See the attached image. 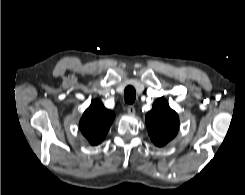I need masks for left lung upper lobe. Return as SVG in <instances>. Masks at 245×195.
I'll use <instances>...</instances> for the list:
<instances>
[{
  "mask_svg": "<svg viewBox=\"0 0 245 195\" xmlns=\"http://www.w3.org/2000/svg\"><path fill=\"white\" fill-rule=\"evenodd\" d=\"M146 126L153 143L161 147L176 136L179 117L165 98L161 97L154 102L152 110L146 114Z\"/></svg>",
  "mask_w": 245,
  "mask_h": 195,
  "instance_id": "left-lung-upper-lobe-1",
  "label": "left lung upper lobe"
}]
</instances>
